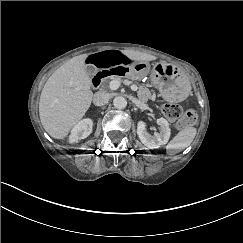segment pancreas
I'll list each match as a JSON object with an SVG mask.
<instances>
[{
	"instance_id": "cf45deb5",
	"label": "pancreas",
	"mask_w": 243,
	"mask_h": 243,
	"mask_svg": "<svg viewBox=\"0 0 243 243\" xmlns=\"http://www.w3.org/2000/svg\"><path fill=\"white\" fill-rule=\"evenodd\" d=\"M118 82H120L119 78H115ZM138 98L143 102H148L151 99V93L147 87L139 86L138 92H137Z\"/></svg>"
}]
</instances>
